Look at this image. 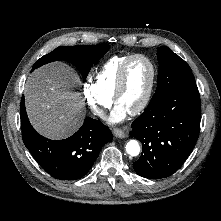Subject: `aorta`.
Listing matches in <instances>:
<instances>
[{
	"instance_id": "aorta-1",
	"label": "aorta",
	"mask_w": 221,
	"mask_h": 221,
	"mask_svg": "<svg viewBox=\"0 0 221 221\" xmlns=\"http://www.w3.org/2000/svg\"><path fill=\"white\" fill-rule=\"evenodd\" d=\"M126 151L131 156H137L139 154V152H140V146H139L138 141L130 140L126 144Z\"/></svg>"
}]
</instances>
